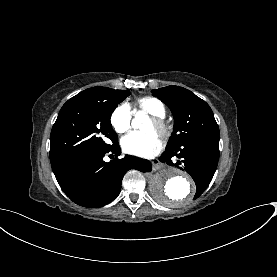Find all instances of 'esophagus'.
Returning a JSON list of instances; mask_svg holds the SVG:
<instances>
[{"mask_svg":"<svg viewBox=\"0 0 277 277\" xmlns=\"http://www.w3.org/2000/svg\"><path fill=\"white\" fill-rule=\"evenodd\" d=\"M151 164H152L153 171H157L163 167V164L159 161L158 158L151 160Z\"/></svg>","mask_w":277,"mask_h":277,"instance_id":"34e87169","label":"esophagus"}]
</instances>
